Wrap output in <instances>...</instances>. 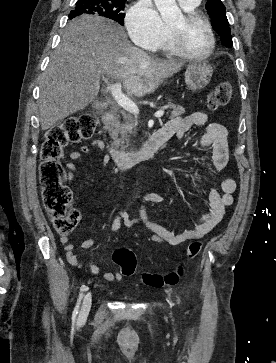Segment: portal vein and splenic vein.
<instances>
[{"instance_id": "18ae733b", "label": "portal vein and splenic vein", "mask_w": 276, "mask_h": 363, "mask_svg": "<svg viewBox=\"0 0 276 363\" xmlns=\"http://www.w3.org/2000/svg\"><path fill=\"white\" fill-rule=\"evenodd\" d=\"M107 89L110 91V93L112 94L115 101L123 109H125L126 111H128L134 115L139 114L138 106L122 93V85L120 82L115 83V84H108ZM164 113H165L164 110H159L154 114V116L159 118V117H162L164 115Z\"/></svg>"}]
</instances>
